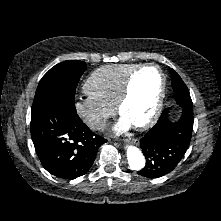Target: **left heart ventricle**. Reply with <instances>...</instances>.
<instances>
[{"label": "left heart ventricle", "instance_id": "1", "mask_svg": "<svg viewBox=\"0 0 221 221\" xmlns=\"http://www.w3.org/2000/svg\"><path fill=\"white\" fill-rule=\"evenodd\" d=\"M161 88V76L156 68L139 72L132 83L129 100L121 110V116L132 125L145 122L153 113Z\"/></svg>", "mask_w": 221, "mask_h": 221}]
</instances>
